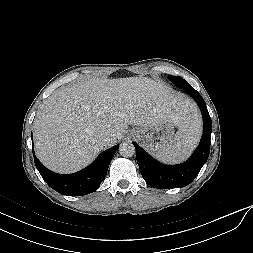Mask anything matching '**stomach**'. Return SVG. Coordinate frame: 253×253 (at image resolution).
I'll use <instances>...</instances> for the list:
<instances>
[{
    "instance_id": "0dacf381",
    "label": "stomach",
    "mask_w": 253,
    "mask_h": 253,
    "mask_svg": "<svg viewBox=\"0 0 253 253\" xmlns=\"http://www.w3.org/2000/svg\"><path fill=\"white\" fill-rule=\"evenodd\" d=\"M130 134L142 141L144 146L151 152H158L171 143L174 135V125L168 121L138 126L130 131Z\"/></svg>"
}]
</instances>
